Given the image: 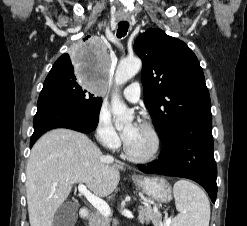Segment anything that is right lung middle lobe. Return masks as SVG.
Listing matches in <instances>:
<instances>
[{
  "label": "right lung middle lobe",
  "mask_w": 247,
  "mask_h": 226,
  "mask_svg": "<svg viewBox=\"0 0 247 226\" xmlns=\"http://www.w3.org/2000/svg\"><path fill=\"white\" fill-rule=\"evenodd\" d=\"M72 65L68 57V60L53 66L46 77L43 88L54 89L85 109L99 114L102 98L94 95L89 89H81V86H78V78H75Z\"/></svg>",
  "instance_id": "1"
}]
</instances>
